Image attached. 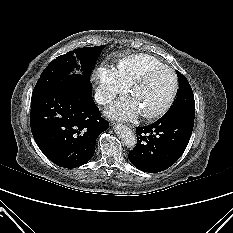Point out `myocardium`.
<instances>
[{"label": "myocardium", "instance_id": "myocardium-1", "mask_svg": "<svg viewBox=\"0 0 233 233\" xmlns=\"http://www.w3.org/2000/svg\"><path fill=\"white\" fill-rule=\"evenodd\" d=\"M159 70H166L171 73L173 78L172 88L166 101L162 104V106H160L158 109L152 112L141 113V115L146 119H155L164 115L173 104L178 91V78L175 71L171 67L166 65L152 66L140 73L128 86V90L131 93L135 87L142 84L152 73Z\"/></svg>", "mask_w": 233, "mask_h": 233}]
</instances>
